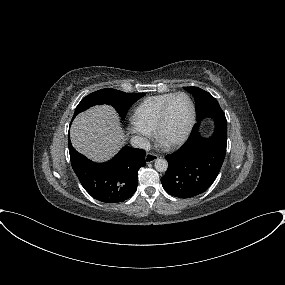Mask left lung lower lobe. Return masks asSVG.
Segmentation results:
<instances>
[{
	"mask_svg": "<svg viewBox=\"0 0 285 285\" xmlns=\"http://www.w3.org/2000/svg\"><path fill=\"white\" fill-rule=\"evenodd\" d=\"M209 117L215 122L211 137L199 133L200 122ZM227 146V120L220 107L207 110L197 118L187 142L175 153L167 155L169 167L161 178L167 193L190 198L205 192L216 179L223 164Z\"/></svg>",
	"mask_w": 285,
	"mask_h": 285,
	"instance_id": "left-lung-lower-lobe-1",
	"label": "left lung lower lobe"
}]
</instances>
